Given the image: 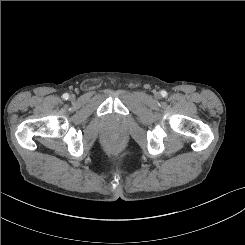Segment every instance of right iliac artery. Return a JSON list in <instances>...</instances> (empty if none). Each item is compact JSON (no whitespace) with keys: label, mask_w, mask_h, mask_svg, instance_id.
Listing matches in <instances>:
<instances>
[{"label":"right iliac artery","mask_w":245,"mask_h":245,"mask_svg":"<svg viewBox=\"0 0 245 245\" xmlns=\"http://www.w3.org/2000/svg\"><path fill=\"white\" fill-rule=\"evenodd\" d=\"M63 98H64V99H68V98H69V95H68L67 93H65V94L63 95Z\"/></svg>","instance_id":"obj_1"}]
</instances>
